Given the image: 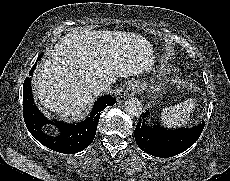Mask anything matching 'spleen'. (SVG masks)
Segmentation results:
<instances>
[{"label": "spleen", "instance_id": "obj_1", "mask_svg": "<svg viewBox=\"0 0 230 181\" xmlns=\"http://www.w3.org/2000/svg\"><path fill=\"white\" fill-rule=\"evenodd\" d=\"M195 101L188 99L178 105L164 108L161 119L168 126H180L187 122V117L194 108Z\"/></svg>", "mask_w": 230, "mask_h": 181}]
</instances>
